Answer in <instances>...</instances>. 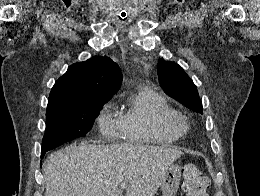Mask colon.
Here are the masks:
<instances>
[{"label": "colon", "mask_w": 260, "mask_h": 196, "mask_svg": "<svg viewBox=\"0 0 260 196\" xmlns=\"http://www.w3.org/2000/svg\"><path fill=\"white\" fill-rule=\"evenodd\" d=\"M184 190L187 196H207L210 178L196 166L189 165L182 171Z\"/></svg>", "instance_id": "obj_1"}]
</instances>
